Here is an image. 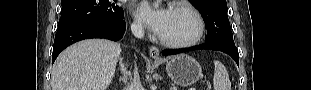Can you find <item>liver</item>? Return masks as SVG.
Returning a JSON list of instances; mask_svg holds the SVG:
<instances>
[{
  "label": "liver",
  "mask_w": 311,
  "mask_h": 90,
  "mask_svg": "<svg viewBox=\"0 0 311 90\" xmlns=\"http://www.w3.org/2000/svg\"><path fill=\"white\" fill-rule=\"evenodd\" d=\"M120 53V44L104 39L73 44L53 65L52 90H107Z\"/></svg>",
  "instance_id": "6515ba94"
}]
</instances>
